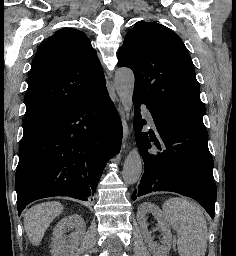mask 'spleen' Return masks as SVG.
<instances>
[{
    "instance_id": "obj_1",
    "label": "spleen",
    "mask_w": 236,
    "mask_h": 256,
    "mask_svg": "<svg viewBox=\"0 0 236 256\" xmlns=\"http://www.w3.org/2000/svg\"><path fill=\"white\" fill-rule=\"evenodd\" d=\"M163 210L178 234L179 256H205L208 230L199 206L184 198H171L164 202Z\"/></svg>"
}]
</instances>
